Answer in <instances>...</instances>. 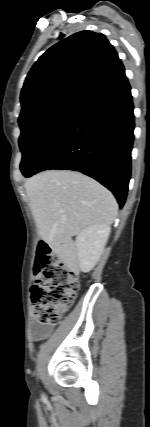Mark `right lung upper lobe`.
<instances>
[{"instance_id":"right-lung-upper-lobe-1","label":"right lung upper lobe","mask_w":150,"mask_h":427,"mask_svg":"<svg viewBox=\"0 0 150 427\" xmlns=\"http://www.w3.org/2000/svg\"><path fill=\"white\" fill-rule=\"evenodd\" d=\"M125 75L105 35L77 32L48 49L33 65L21 92L20 117L53 104L80 106Z\"/></svg>"}]
</instances>
